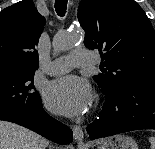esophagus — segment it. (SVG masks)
I'll list each match as a JSON object with an SVG mask.
<instances>
[{
	"mask_svg": "<svg viewBox=\"0 0 155 149\" xmlns=\"http://www.w3.org/2000/svg\"><path fill=\"white\" fill-rule=\"evenodd\" d=\"M72 130H73V137L76 141L78 142H82L83 141V138H84V134H83V130L80 126H73L72 127Z\"/></svg>",
	"mask_w": 155,
	"mask_h": 149,
	"instance_id": "esophagus-1",
	"label": "esophagus"
}]
</instances>
